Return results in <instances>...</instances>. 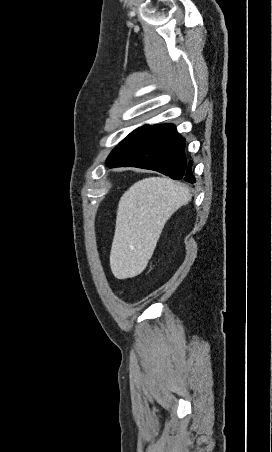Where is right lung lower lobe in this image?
<instances>
[{"instance_id":"1","label":"right lung lower lobe","mask_w":272,"mask_h":452,"mask_svg":"<svg viewBox=\"0 0 272 452\" xmlns=\"http://www.w3.org/2000/svg\"><path fill=\"white\" fill-rule=\"evenodd\" d=\"M185 139L172 124L152 126L119 160L109 166L158 171L174 180L195 182L185 156Z\"/></svg>"}]
</instances>
